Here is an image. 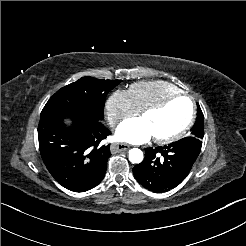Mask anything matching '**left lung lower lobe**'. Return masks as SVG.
<instances>
[{
    "instance_id": "0a47b994",
    "label": "left lung lower lobe",
    "mask_w": 246,
    "mask_h": 246,
    "mask_svg": "<svg viewBox=\"0 0 246 246\" xmlns=\"http://www.w3.org/2000/svg\"><path fill=\"white\" fill-rule=\"evenodd\" d=\"M202 141L189 136L164 147L145 149V159L133 168L136 180L146 189L166 192L179 185L197 159Z\"/></svg>"
}]
</instances>
